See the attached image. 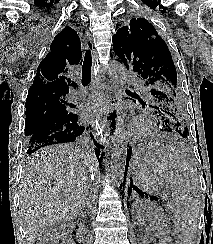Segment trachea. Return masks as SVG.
Listing matches in <instances>:
<instances>
[{
  "label": "trachea",
  "instance_id": "1",
  "mask_svg": "<svg viewBox=\"0 0 213 244\" xmlns=\"http://www.w3.org/2000/svg\"><path fill=\"white\" fill-rule=\"evenodd\" d=\"M92 56L91 51L87 50L82 66V84L87 86L91 82Z\"/></svg>",
  "mask_w": 213,
  "mask_h": 244
}]
</instances>
